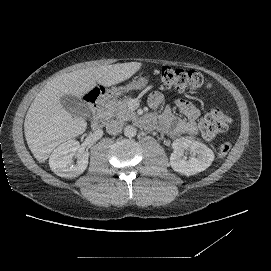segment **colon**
<instances>
[{
  "label": "colon",
  "instance_id": "obj_1",
  "mask_svg": "<svg viewBox=\"0 0 271 271\" xmlns=\"http://www.w3.org/2000/svg\"><path fill=\"white\" fill-rule=\"evenodd\" d=\"M161 83L165 90L177 93H193L201 87L211 89V85L201 73L173 69L169 66L162 68ZM105 99V88L103 86L95 87L87 95V101L92 106L102 103ZM230 124L231 118L220 108L216 107L201 119L199 129L205 138L212 139L216 135L226 131ZM230 150L231 143L223 142L219 145L217 153L220 157H224Z\"/></svg>",
  "mask_w": 271,
  "mask_h": 271
}]
</instances>
